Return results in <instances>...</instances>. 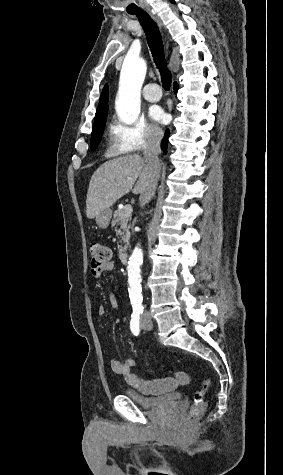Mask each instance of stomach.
Returning <instances> with one entry per match:
<instances>
[{
    "label": "stomach",
    "instance_id": "1",
    "mask_svg": "<svg viewBox=\"0 0 283 475\" xmlns=\"http://www.w3.org/2000/svg\"><path fill=\"white\" fill-rule=\"evenodd\" d=\"M95 218L98 228H108L112 218V210H110V208H108V210H103V212H100V214L95 216Z\"/></svg>",
    "mask_w": 283,
    "mask_h": 475
}]
</instances>
